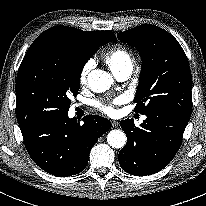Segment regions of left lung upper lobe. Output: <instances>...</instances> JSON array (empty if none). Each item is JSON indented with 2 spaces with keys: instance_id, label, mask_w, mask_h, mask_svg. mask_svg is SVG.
Here are the masks:
<instances>
[{
  "instance_id": "5c2ea615",
  "label": "left lung upper lobe",
  "mask_w": 206,
  "mask_h": 206,
  "mask_svg": "<svg viewBox=\"0 0 206 206\" xmlns=\"http://www.w3.org/2000/svg\"><path fill=\"white\" fill-rule=\"evenodd\" d=\"M117 36L120 41L135 46L142 59L135 111L145 114L162 109L191 114V72L178 41L165 30L150 24Z\"/></svg>"
}]
</instances>
